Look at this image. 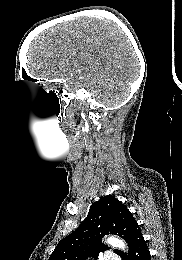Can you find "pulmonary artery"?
Instances as JSON below:
<instances>
[{
    "label": "pulmonary artery",
    "instance_id": "e3ab8cb5",
    "mask_svg": "<svg viewBox=\"0 0 182 260\" xmlns=\"http://www.w3.org/2000/svg\"><path fill=\"white\" fill-rule=\"evenodd\" d=\"M104 260H121L120 257L114 253H107Z\"/></svg>",
    "mask_w": 182,
    "mask_h": 260
}]
</instances>
